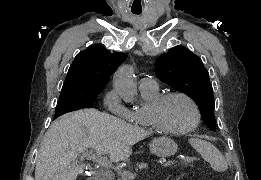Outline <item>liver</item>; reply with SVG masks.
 <instances>
[{
  "mask_svg": "<svg viewBox=\"0 0 261 180\" xmlns=\"http://www.w3.org/2000/svg\"><path fill=\"white\" fill-rule=\"evenodd\" d=\"M145 128L90 110H77L52 122L40 146L35 180H77L84 172L85 150L108 154L111 162H123L132 154V146L151 136Z\"/></svg>",
  "mask_w": 261,
  "mask_h": 180,
  "instance_id": "liver-1",
  "label": "liver"
}]
</instances>
